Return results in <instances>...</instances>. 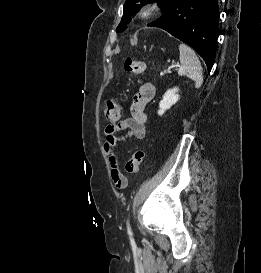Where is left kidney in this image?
I'll use <instances>...</instances> for the list:
<instances>
[{
    "instance_id": "1",
    "label": "left kidney",
    "mask_w": 261,
    "mask_h": 273,
    "mask_svg": "<svg viewBox=\"0 0 261 273\" xmlns=\"http://www.w3.org/2000/svg\"><path fill=\"white\" fill-rule=\"evenodd\" d=\"M178 88L169 89L163 96V99L159 103L158 115L162 116L164 112L171 108L179 100V95L177 94Z\"/></svg>"
}]
</instances>
